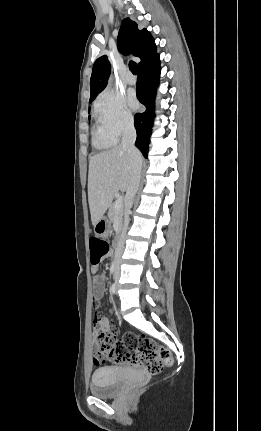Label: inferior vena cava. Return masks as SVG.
Listing matches in <instances>:
<instances>
[{
    "label": "inferior vena cava",
    "instance_id": "602c4592",
    "mask_svg": "<svg viewBox=\"0 0 261 431\" xmlns=\"http://www.w3.org/2000/svg\"><path fill=\"white\" fill-rule=\"evenodd\" d=\"M135 141H136V130L134 128V121L133 119H129L126 122L123 137H122V146L125 148L132 160L133 163V174L130 182V186L126 192V208H125V216H124V227L121 233V236L119 238L116 250H115V270L114 274L116 277L120 274V259L124 250V244H125V237L128 229V224L130 221L129 214L130 209L133 205V199L137 193L139 184H140V178H141V167H142V161L140 158V152L135 147Z\"/></svg>",
    "mask_w": 261,
    "mask_h": 431
}]
</instances>
